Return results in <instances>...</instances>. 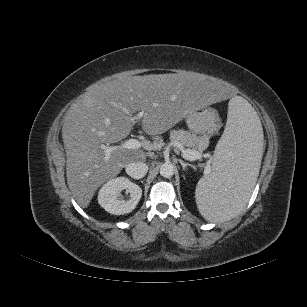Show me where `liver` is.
Wrapping results in <instances>:
<instances>
[{"instance_id":"1","label":"liver","mask_w":307,"mask_h":307,"mask_svg":"<svg viewBox=\"0 0 307 307\" xmlns=\"http://www.w3.org/2000/svg\"><path fill=\"white\" fill-rule=\"evenodd\" d=\"M232 91L194 73L131 76L96 83L67 111L62 128L68 187L82 207L96 190L117 176L127 164L144 162L142 149L114 150L105 161L101 144L125 139L132 115L143 111L142 129L156 141L190 112L229 102ZM146 148L149 142H142Z\"/></svg>"}]
</instances>
